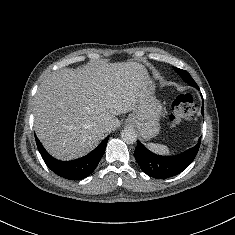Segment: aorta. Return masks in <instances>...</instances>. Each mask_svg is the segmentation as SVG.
Wrapping results in <instances>:
<instances>
[{"mask_svg": "<svg viewBox=\"0 0 235 235\" xmlns=\"http://www.w3.org/2000/svg\"><path fill=\"white\" fill-rule=\"evenodd\" d=\"M121 139L127 144L136 142L137 134L133 129H124L121 132Z\"/></svg>", "mask_w": 235, "mask_h": 235, "instance_id": "1", "label": "aorta"}]
</instances>
